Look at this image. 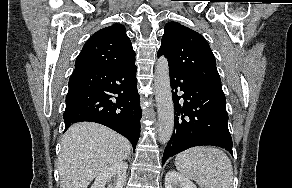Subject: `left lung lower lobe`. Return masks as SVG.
<instances>
[{"mask_svg": "<svg viewBox=\"0 0 292 188\" xmlns=\"http://www.w3.org/2000/svg\"><path fill=\"white\" fill-rule=\"evenodd\" d=\"M175 106V129L167 144L165 161L190 147L219 146L232 153V139L228 130L226 99L222 88L170 71ZM184 94L178 96L177 92Z\"/></svg>", "mask_w": 292, "mask_h": 188, "instance_id": "left-lung-lower-lobe-1", "label": "left lung lower lobe"}]
</instances>
